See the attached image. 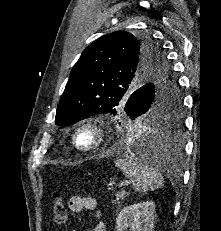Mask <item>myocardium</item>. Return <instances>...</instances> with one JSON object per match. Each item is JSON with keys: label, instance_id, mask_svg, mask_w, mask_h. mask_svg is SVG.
<instances>
[{"label": "myocardium", "instance_id": "f54148a6", "mask_svg": "<svg viewBox=\"0 0 221 231\" xmlns=\"http://www.w3.org/2000/svg\"><path fill=\"white\" fill-rule=\"evenodd\" d=\"M89 130L93 135V141L90 145L83 146L78 141L79 134L84 131ZM106 141V130L104 124L97 119H86L81 121L72 134V144L73 146L83 153H90L100 149Z\"/></svg>", "mask_w": 221, "mask_h": 231}]
</instances>
